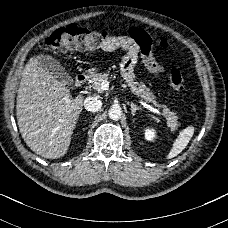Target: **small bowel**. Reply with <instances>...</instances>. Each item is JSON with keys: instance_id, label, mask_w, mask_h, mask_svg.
I'll use <instances>...</instances> for the list:
<instances>
[{"instance_id": "c3829d8e", "label": "small bowel", "mask_w": 228, "mask_h": 228, "mask_svg": "<svg viewBox=\"0 0 228 228\" xmlns=\"http://www.w3.org/2000/svg\"><path fill=\"white\" fill-rule=\"evenodd\" d=\"M152 43L149 36L141 28H131L128 35L119 38H113L105 44L103 50L111 52L116 49H123L126 55L123 57L121 72L127 79L134 78V68L138 61L139 53L144 66L153 74H159L164 71L163 67L157 62L150 50Z\"/></svg>"}]
</instances>
